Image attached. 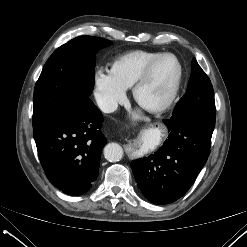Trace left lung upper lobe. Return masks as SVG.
<instances>
[{"label": "left lung upper lobe", "instance_id": "5c2ea615", "mask_svg": "<svg viewBox=\"0 0 247 247\" xmlns=\"http://www.w3.org/2000/svg\"><path fill=\"white\" fill-rule=\"evenodd\" d=\"M192 109L216 115L214 91L210 79L193 58L187 92L176 104L172 117Z\"/></svg>", "mask_w": 247, "mask_h": 247}]
</instances>
